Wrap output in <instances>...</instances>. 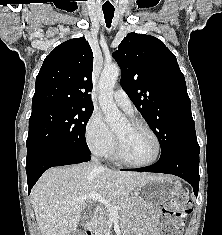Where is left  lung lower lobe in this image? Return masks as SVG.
Wrapping results in <instances>:
<instances>
[{
    "instance_id": "1",
    "label": "left lung lower lobe",
    "mask_w": 222,
    "mask_h": 235,
    "mask_svg": "<svg viewBox=\"0 0 222 235\" xmlns=\"http://www.w3.org/2000/svg\"><path fill=\"white\" fill-rule=\"evenodd\" d=\"M199 153L200 150H175L161 156L159 161L152 166L138 169H127V171L156 172L179 176L192 185L194 194L197 197L200 179Z\"/></svg>"
}]
</instances>
